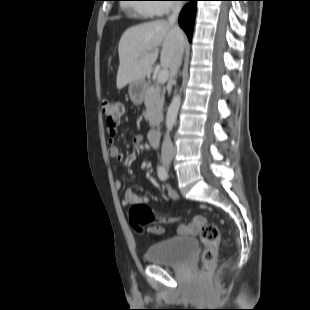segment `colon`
I'll list each match as a JSON object with an SVG mask.
<instances>
[{"label":"colon","mask_w":310,"mask_h":310,"mask_svg":"<svg viewBox=\"0 0 310 310\" xmlns=\"http://www.w3.org/2000/svg\"><path fill=\"white\" fill-rule=\"evenodd\" d=\"M102 110L106 117L107 125L116 127L120 117L124 112L122 103L114 100H105L102 103ZM131 225L140 230L141 227L149 223H172L176 219L172 217L161 216L154 213L147 205L143 203L133 204L129 210ZM200 239L204 245L202 254L203 272L208 274L215 264L220 246L219 228L214 223H207L204 220L199 222Z\"/></svg>","instance_id":"colon-1"}]
</instances>
